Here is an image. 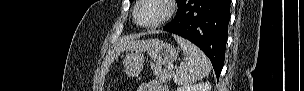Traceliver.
I'll return each instance as SVG.
<instances>
[{"label":"liver","instance_id":"obj_1","mask_svg":"<svg viewBox=\"0 0 304 91\" xmlns=\"http://www.w3.org/2000/svg\"><path fill=\"white\" fill-rule=\"evenodd\" d=\"M148 41H140L131 37H126L122 39L115 47L113 52L105 59L103 65V72L106 74L108 72L109 65L114 61L116 57L123 51H141L147 46Z\"/></svg>","mask_w":304,"mask_h":91}]
</instances>
